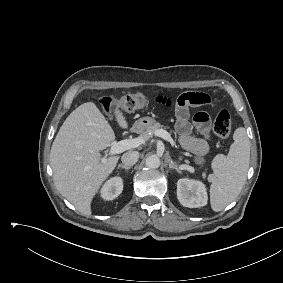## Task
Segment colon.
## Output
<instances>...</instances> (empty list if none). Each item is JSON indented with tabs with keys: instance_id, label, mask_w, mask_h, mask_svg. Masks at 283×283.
<instances>
[{
	"instance_id": "1",
	"label": "colon",
	"mask_w": 283,
	"mask_h": 283,
	"mask_svg": "<svg viewBox=\"0 0 283 283\" xmlns=\"http://www.w3.org/2000/svg\"><path fill=\"white\" fill-rule=\"evenodd\" d=\"M146 102L147 99L142 93H132L127 94L118 100L104 98L102 100V105L108 112L116 109L134 112L143 108L146 105ZM213 131L221 138L229 136L231 132V116L227 110H221L217 114L213 124Z\"/></svg>"
}]
</instances>
